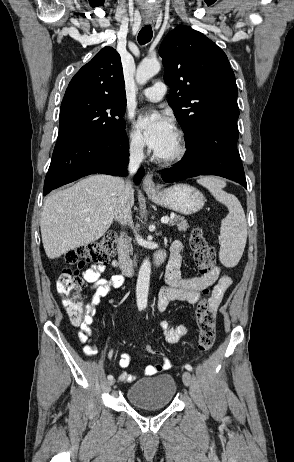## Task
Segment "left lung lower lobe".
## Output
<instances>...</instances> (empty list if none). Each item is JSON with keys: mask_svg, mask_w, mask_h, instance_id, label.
<instances>
[{"mask_svg": "<svg viewBox=\"0 0 294 462\" xmlns=\"http://www.w3.org/2000/svg\"><path fill=\"white\" fill-rule=\"evenodd\" d=\"M239 109L225 107L215 114L200 133L186 144L188 155L174 167L161 172L165 182L199 175H217L247 188L243 165L237 150Z\"/></svg>", "mask_w": 294, "mask_h": 462, "instance_id": "left-lung-lower-lobe-1", "label": "left lung lower lobe"}]
</instances>
